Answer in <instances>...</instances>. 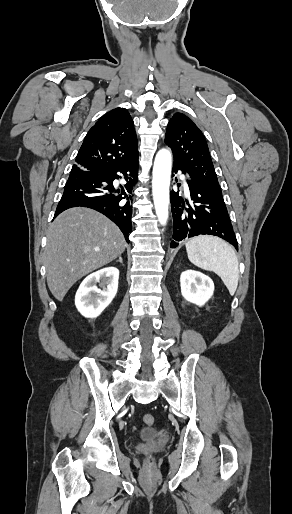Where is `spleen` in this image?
<instances>
[{
    "label": "spleen",
    "mask_w": 292,
    "mask_h": 514,
    "mask_svg": "<svg viewBox=\"0 0 292 514\" xmlns=\"http://www.w3.org/2000/svg\"><path fill=\"white\" fill-rule=\"evenodd\" d=\"M185 246L188 260L202 270L215 272L229 294L234 296L239 282V264L234 248L216 236H195Z\"/></svg>",
    "instance_id": "spleen-1"
}]
</instances>
